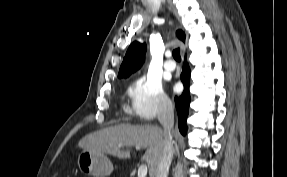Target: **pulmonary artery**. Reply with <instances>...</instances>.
Wrapping results in <instances>:
<instances>
[{"instance_id": "obj_1", "label": "pulmonary artery", "mask_w": 287, "mask_h": 177, "mask_svg": "<svg viewBox=\"0 0 287 177\" xmlns=\"http://www.w3.org/2000/svg\"><path fill=\"white\" fill-rule=\"evenodd\" d=\"M165 56H166V61H165V64H164V68L167 70V71H174L175 69V63L173 62V60L171 59V52H165Z\"/></svg>"}]
</instances>
